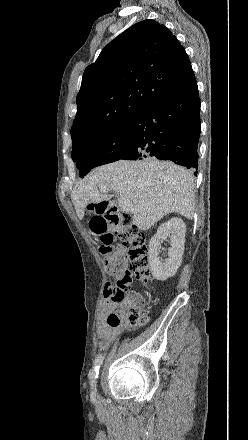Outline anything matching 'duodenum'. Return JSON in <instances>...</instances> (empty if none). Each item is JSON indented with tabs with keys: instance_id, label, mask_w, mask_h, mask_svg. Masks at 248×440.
Masks as SVG:
<instances>
[{
	"instance_id": "410a0bca",
	"label": "duodenum",
	"mask_w": 248,
	"mask_h": 440,
	"mask_svg": "<svg viewBox=\"0 0 248 440\" xmlns=\"http://www.w3.org/2000/svg\"><path fill=\"white\" fill-rule=\"evenodd\" d=\"M103 205L106 207H111L113 204L110 202H103Z\"/></svg>"
}]
</instances>
